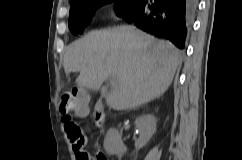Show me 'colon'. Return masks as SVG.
Segmentation results:
<instances>
[{"instance_id":"1","label":"colon","mask_w":242,"mask_h":160,"mask_svg":"<svg viewBox=\"0 0 242 160\" xmlns=\"http://www.w3.org/2000/svg\"><path fill=\"white\" fill-rule=\"evenodd\" d=\"M87 108V97L85 93L78 90H67L61 96L60 111L64 113L63 124L65 132L76 147L81 148L85 143V135L82 128L72 119L70 113L85 111ZM80 160H107L100 153L94 157L87 152L79 156Z\"/></svg>"}]
</instances>
